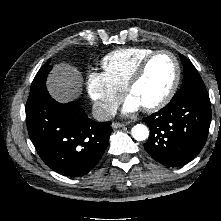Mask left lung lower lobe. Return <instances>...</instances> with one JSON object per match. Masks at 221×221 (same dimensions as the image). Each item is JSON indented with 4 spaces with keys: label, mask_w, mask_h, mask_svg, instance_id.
I'll return each instance as SVG.
<instances>
[{
    "label": "left lung lower lobe",
    "mask_w": 221,
    "mask_h": 221,
    "mask_svg": "<svg viewBox=\"0 0 221 221\" xmlns=\"http://www.w3.org/2000/svg\"><path fill=\"white\" fill-rule=\"evenodd\" d=\"M150 127L145 150L157 162L178 167L202 150L210 127L211 107L206 90L172 98L159 112L144 118Z\"/></svg>",
    "instance_id": "0a47b994"
}]
</instances>
